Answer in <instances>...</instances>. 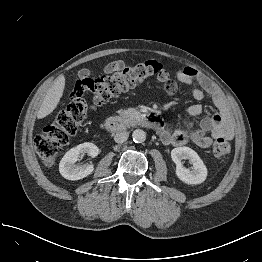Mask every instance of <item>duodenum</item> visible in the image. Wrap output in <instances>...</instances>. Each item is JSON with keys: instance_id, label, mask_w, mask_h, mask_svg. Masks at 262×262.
Returning a JSON list of instances; mask_svg holds the SVG:
<instances>
[{"instance_id": "410a0bca", "label": "duodenum", "mask_w": 262, "mask_h": 262, "mask_svg": "<svg viewBox=\"0 0 262 262\" xmlns=\"http://www.w3.org/2000/svg\"><path fill=\"white\" fill-rule=\"evenodd\" d=\"M136 124L152 129L157 123L154 119H143L136 122L126 117H111L105 120L104 127L108 132L114 133L132 127Z\"/></svg>"}]
</instances>
